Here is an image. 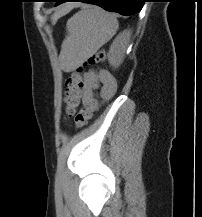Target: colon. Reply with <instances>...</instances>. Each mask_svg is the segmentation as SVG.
I'll list each match as a JSON object with an SVG mask.
<instances>
[{"label":"colon","mask_w":202,"mask_h":217,"mask_svg":"<svg viewBox=\"0 0 202 217\" xmlns=\"http://www.w3.org/2000/svg\"><path fill=\"white\" fill-rule=\"evenodd\" d=\"M106 59V52L101 50L88 58L89 64H100ZM83 77L82 66L76 68L71 76L66 81L65 91V114L67 117L75 115V125L77 128L84 127L91 118L92 113L97 109L98 103L96 100L86 106L82 107L77 113L76 110L80 105V100L83 93Z\"/></svg>","instance_id":"colon-1"}]
</instances>
